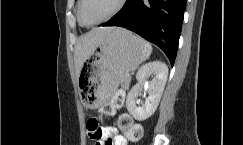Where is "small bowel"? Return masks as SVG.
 <instances>
[{
	"mask_svg": "<svg viewBox=\"0 0 243 145\" xmlns=\"http://www.w3.org/2000/svg\"><path fill=\"white\" fill-rule=\"evenodd\" d=\"M89 137L95 141V145H128L127 138L119 134L117 128L113 126L100 128V136L98 138L90 135Z\"/></svg>",
	"mask_w": 243,
	"mask_h": 145,
	"instance_id": "1",
	"label": "small bowel"
}]
</instances>
